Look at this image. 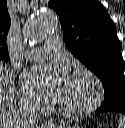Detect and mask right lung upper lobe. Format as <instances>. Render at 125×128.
Instances as JSON below:
<instances>
[{"mask_svg": "<svg viewBox=\"0 0 125 128\" xmlns=\"http://www.w3.org/2000/svg\"><path fill=\"white\" fill-rule=\"evenodd\" d=\"M11 20L7 9V1L0 0V59H9L6 39Z\"/></svg>", "mask_w": 125, "mask_h": 128, "instance_id": "1", "label": "right lung upper lobe"}]
</instances>
